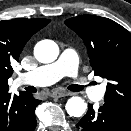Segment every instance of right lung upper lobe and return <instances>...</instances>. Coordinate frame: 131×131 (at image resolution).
Listing matches in <instances>:
<instances>
[{"label": "right lung upper lobe", "instance_id": "cb5924a9", "mask_svg": "<svg viewBox=\"0 0 131 131\" xmlns=\"http://www.w3.org/2000/svg\"><path fill=\"white\" fill-rule=\"evenodd\" d=\"M49 19H14L0 21V91L8 89L12 65L33 34L45 27Z\"/></svg>", "mask_w": 131, "mask_h": 131}]
</instances>
